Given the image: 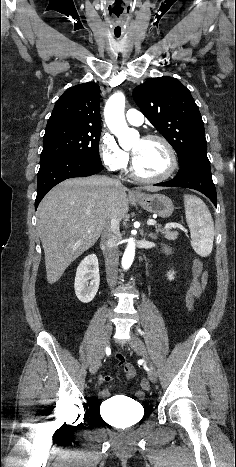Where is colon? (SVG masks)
I'll return each instance as SVG.
<instances>
[{
	"instance_id": "colon-1",
	"label": "colon",
	"mask_w": 236,
	"mask_h": 467,
	"mask_svg": "<svg viewBox=\"0 0 236 467\" xmlns=\"http://www.w3.org/2000/svg\"><path fill=\"white\" fill-rule=\"evenodd\" d=\"M202 273H203V264L199 259H195L194 263H193V279L194 280L198 279L201 276ZM193 304H194V296L191 293H188L187 297H186V305H187L189 310L193 309ZM119 358L123 359L124 356L122 354H119ZM130 374H131V371H130ZM142 386L145 387V388L148 387V383H147L146 380L142 381ZM137 396L139 398H143L144 393L139 391V392H137Z\"/></svg>"
}]
</instances>
